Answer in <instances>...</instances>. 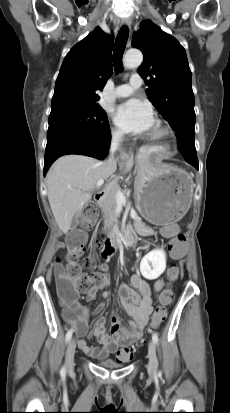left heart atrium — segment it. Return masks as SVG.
Listing matches in <instances>:
<instances>
[{"instance_id":"obj_1","label":"left heart atrium","mask_w":230,"mask_h":413,"mask_svg":"<svg viewBox=\"0 0 230 413\" xmlns=\"http://www.w3.org/2000/svg\"><path fill=\"white\" fill-rule=\"evenodd\" d=\"M115 123L131 134H146L154 127L151 107L140 100L130 99L120 104L115 112Z\"/></svg>"}]
</instances>
